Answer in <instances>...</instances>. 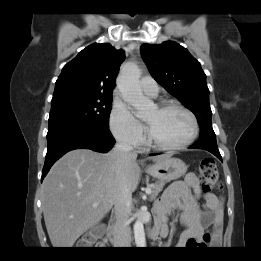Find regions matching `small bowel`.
<instances>
[{"mask_svg":"<svg viewBox=\"0 0 261 261\" xmlns=\"http://www.w3.org/2000/svg\"><path fill=\"white\" fill-rule=\"evenodd\" d=\"M203 200V207L197 205ZM172 209L181 211V222L185 231L180 237V247L189 246L192 240H200L206 229H211L212 244H218L222 232V200L215 194L204 192L199 179L189 173L183 181L172 183L156 207V227L166 231V216Z\"/></svg>","mask_w":261,"mask_h":261,"instance_id":"obj_1","label":"small bowel"}]
</instances>
